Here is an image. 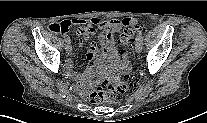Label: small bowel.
I'll list each match as a JSON object with an SVG mask.
<instances>
[{
    "instance_id": "obj_1",
    "label": "small bowel",
    "mask_w": 207,
    "mask_h": 123,
    "mask_svg": "<svg viewBox=\"0 0 207 123\" xmlns=\"http://www.w3.org/2000/svg\"><path fill=\"white\" fill-rule=\"evenodd\" d=\"M135 24L133 19L116 20L112 19L100 22L98 19L91 20H64L59 23V32L66 35L72 26L79 27L80 44L95 31V26L101 29L99 35L100 47L96 43H91L87 55L90 59L87 68L82 72L73 71V63L68 59L65 63V69L68 76L75 81L74 89L82 97L88 98L100 78L106 73L108 67L111 69H125L124 64L119 63L118 53L114 44V34L122 28ZM98 65L100 71L95 72L94 67Z\"/></svg>"
}]
</instances>
